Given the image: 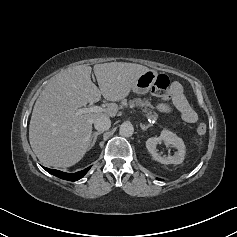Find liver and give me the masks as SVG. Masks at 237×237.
Returning <instances> with one entry per match:
<instances>
[{"label":"liver","instance_id":"1","mask_svg":"<svg viewBox=\"0 0 237 237\" xmlns=\"http://www.w3.org/2000/svg\"><path fill=\"white\" fill-rule=\"evenodd\" d=\"M94 73L99 88L91 81L92 68L79 65L55 75L41 92L33 108L29 141L32 150L46 166L70 167L88 150L92 124L100 116L114 117L117 106L111 103L104 112H75L101 95L116 102L126 98L138 77L150 70L134 63L96 64Z\"/></svg>","mask_w":237,"mask_h":237}]
</instances>
